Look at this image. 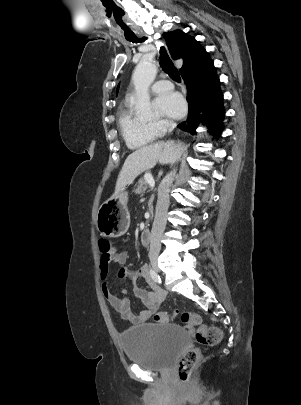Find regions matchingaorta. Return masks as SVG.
I'll return each instance as SVG.
<instances>
[{
	"label": "aorta",
	"mask_w": 301,
	"mask_h": 405,
	"mask_svg": "<svg viewBox=\"0 0 301 405\" xmlns=\"http://www.w3.org/2000/svg\"><path fill=\"white\" fill-rule=\"evenodd\" d=\"M156 74L157 67L150 59L141 60L135 67L132 81L136 92L135 109L139 115H149L151 113L149 87L153 83Z\"/></svg>",
	"instance_id": "1"
}]
</instances>
